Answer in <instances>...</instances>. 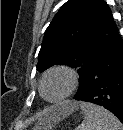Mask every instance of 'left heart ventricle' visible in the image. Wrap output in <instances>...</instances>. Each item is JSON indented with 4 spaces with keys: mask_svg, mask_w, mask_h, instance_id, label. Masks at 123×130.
I'll use <instances>...</instances> for the list:
<instances>
[{
    "mask_svg": "<svg viewBox=\"0 0 123 130\" xmlns=\"http://www.w3.org/2000/svg\"><path fill=\"white\" fill-rule=\"evenodd\" d=\"M69 84L68 77L63 73L50 75L44 83V93L48 98H56L65 92Z\"/></svg>",
    "mask_w": 123,
    "mask_h": 130,
    "instance_id": "1",
    "label": "left heart ventricle"
}]
</instances>
